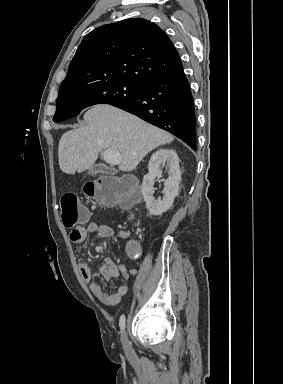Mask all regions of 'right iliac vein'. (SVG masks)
<instances>
[{
  "mask_svg": "<svg viewBox=\"0 0 283 384\" xmlns=\"http://www.w3.org/2000/svg\"><path fill=\"white\" fill-rule=\"evenodd\" d=\"M121 343H122V346H123V349H124L126 355L132 356L133 355V349H132L131 343L128 340V337H127V334L125 331H123V333L121 335Z\"/></svg>",
  "mask_w": 283,
  "mask_h": 384,
  "instance_id": "63e3f726",
  "label": "right iliac vein"
}]
</instances>
